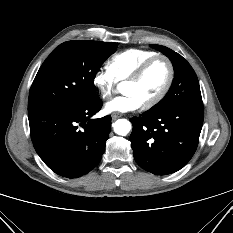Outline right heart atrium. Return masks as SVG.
I'll list each match as a JSON object with an SVG mask.
<instances>
[{
    "label": "right heart atrium",
    "instance_id": "obj_1",
    "mask_svg": "<svg viewBox=\"0 0 233 233\" xmlns=\"http://www.w3.org/2000/svg\"><path fill=\"white\" fill-rule=\"evenodd\" d=\"M93 84L99 90L101 97L107 99L115 92L118 82L108 68H104L95 73Z\"/></svg>",
    "mask_w": 233,
    "mask_h": 233
}]
</instances>
